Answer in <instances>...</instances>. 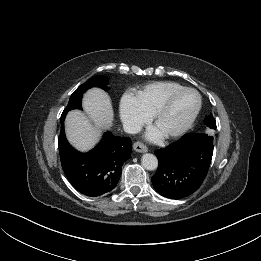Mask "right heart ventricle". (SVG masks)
<instances>
[{
	"mask_svg": "<svg viewBox=\"0 0 261 261\" xmlns=\"http://www.w3.org/2000/svg\"><path fill=\"white\" fill-rule=\"evenodd\" d=\"M183 86L173 81H156L143 86L135 94V99L140 109L152 116L164 98L171 92Z\"/></svg>",
	"mask_w": 261,
	"mask_h": 261,
	"instance_id": "right-heart-ventricle-1",
	"label": "right heart ventricle"
}]
</instances>
